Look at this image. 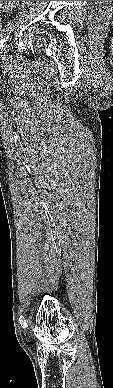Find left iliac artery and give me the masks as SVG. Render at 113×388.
I'll list each match as a JSON object with an SVG mask.
<instances>
[{
  "label": "left iliac artery",
  "mask_w": 113,
  "mask_h": 388,
  "mask_svg": "<svg viewBox=\"0 0 113 388\" xmlns=\"http://www.w3.org/2000/svg\"><path fill=\"white\" fill-rule=\"evenodd\" d=\"M13 27H14V23L13 21H8L3 30H2V33H1V40H0V48L1 50L4 49V47L6 46V43L10 37V34L12 33L13 31Z\"/></svg>",
  "instance_id": "obj_1"
}]
</instances>
